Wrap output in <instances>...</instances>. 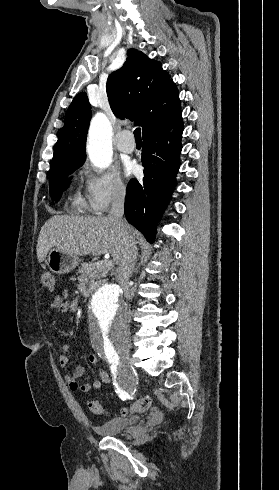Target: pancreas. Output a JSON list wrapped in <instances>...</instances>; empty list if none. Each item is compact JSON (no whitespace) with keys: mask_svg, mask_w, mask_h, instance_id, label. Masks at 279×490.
Instances as JSON below:
<instances>
[{"mask_svg":"<svg viewBox=\"0 0 279 490\" xmlns=\"http://www.w3.org/2000/svg\"><path fill=\"white\" fill-rule=\"evenodd\" d=\"M113 266H107L105 264H81L79 270H77V274H81V276H85V278H91L92 282L97 280V278H105L108 272L112 270Z\"/></svg>","mask_w":279,"mask_h":490,"instance_id":"obj_1","label":"pancreas"}]
</instances>
